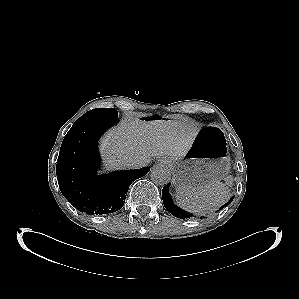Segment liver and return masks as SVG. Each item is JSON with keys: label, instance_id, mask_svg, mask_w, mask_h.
<instances>
[{"label": "liver", "instance_id": "obj_1", "mask_svg": "<svg viewBox=\"0 0 299 299\" xmlns=\"http://www.w3.org/2000/svg\"><path fill=\"white\" fill-rule=\"evenodd\" d=\"M198 131L197 124L187 120H128L106 133L100 151L112 169L128 168L134 159L179 158L192 147Z\"/></svg>", "mask_w": 299, "mask_h": 299}]
</instances>
